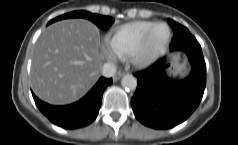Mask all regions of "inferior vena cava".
I'll return each mask as SVG.
<instances>
[{
    "label": "inferior vena cava",
    "mask_w": 238,
    "mask_h": 145,
    "mask_svg": "<svg viewBox=\"0 0 238 145\" xmlns=\"http://www.w3.org/2000/svg\"><path fill=\"white\" fill-rule=\"evenodd\" d=\"M116 67L112 63H105L102 66L101 73L104 77L110 78L113 77L116 74Z\"/></svg>",
    "instance_id": "1"
}]
</instances>
